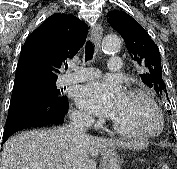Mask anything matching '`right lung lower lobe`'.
Returning <instances> with one entry per match:
<instances>
[{
    "label": "right lung lower lobe",
    "instance_id": "98d812e1",
    "mask_svg": "<svg viewBox=\"0 0 177 169\" xmlns=\"http://www.w3.org/2000/svg\"><path fill=\"white\" fill-rule=\"evenodd\" d=\"M46 82L45 78L37 76H15L3 142L19 130L63 123L68 99L54 101L38 90Z\"/></svg>",
    "mask_w": 177,
    "mask_h": 169
}]
</instances>
